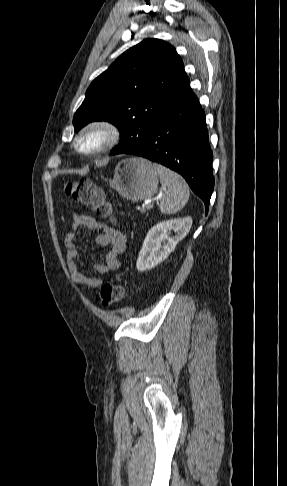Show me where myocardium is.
<instances>
[{"label": "myocardium", "instance_id": "1", "mask_svg": "<svg viewBox=\"0 0 287 486\" xmlns=\"http://www.w3.org/2000/svg\"><path fill=\"white\" fill-rule=\"evenodd\" d=\"M92 134H99L102 138L101 143L91 149L81 146L83 139ZM121 138L119 127L105 119L94 120L84 126L74 140L75 149L86 156H96L111 150Z\"/></svg>", "mask_w": 287, "mask_h": 486}]
</instances>
